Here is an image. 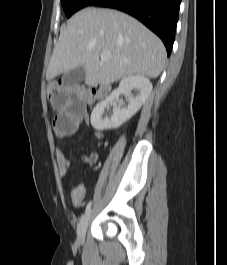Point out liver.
Segmentation results:
<instances>
[{"instance_id":"liver-1","label":"liver","mask_w":227,"mask_h":265,"mask_svg":"<svg viewBox=\"0 0 227 265\" xmlns=\"http://www.w3.org/2000/svg\"><path fill=\"white\" fill-rule=\"evenodd\" d=\"M111 57L100 60L101 52ZM166 50L162 41L135 18L110 9L86 8L61 28L46 79L75 68L85 69L89 87L107 85L130 75L157 78Z\"/></svg>"}]
</instances>
